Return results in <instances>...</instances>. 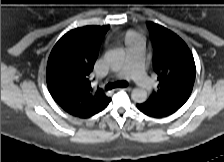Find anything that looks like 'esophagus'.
<instances>
[{"mask_svg": "<svg viewBox=\"0 0 224 162\" xmlns=\"http://www.w3.org/2000/svg\"><path fill=\"white\" fill-rule=\"evenodd\" d=\"M124 90H127V91H131L132 90V88L131 87H126V88H123ZM116 90H119V88L118 89H116Z\"/></svg>", "mask_w": 224, "mask_h": 162, "instance_id": "obj_1", "label": "esophagus"}]
</instances>
